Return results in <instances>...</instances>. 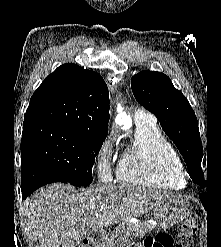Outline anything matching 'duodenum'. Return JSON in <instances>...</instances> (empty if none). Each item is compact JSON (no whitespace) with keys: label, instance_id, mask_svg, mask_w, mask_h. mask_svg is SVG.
<instances>
[{"label":"duodenum","instance_id":"obj_1","mask_svg":"<svg viewBox=\"0 0 221 247\" xmlns=\"http://www.w3.org/2000/svg\"><path fill=\"white\" fill-rule=\"evenodd\" d=\"M88 240L92 245L99 246L101 243V234L99 231H92L88 235Z\"/></svg>","mask_w":221,"mask_h":247}]
</instances>
